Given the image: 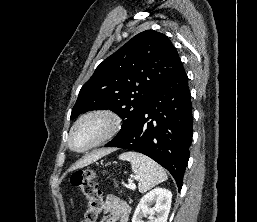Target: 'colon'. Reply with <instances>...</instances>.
Here are the masks:
<instances>
[{
  "label": "colon",
  "mask_w": 257,
  "mask_h": 222,
  "mask_svg": "<svg viewBox=\"0 0 257 222\" xmlns=\"http://www.w3.org/2000/svg\"><path fill=\"white\" fill-rule=\"evenodd\" d=\"M72 186L78 188L86 200V209L82 222H96L99 213L103 209L101 191L96 182V171L92 169H80L70 177Z\"/></svg>",
  "instance_id": "5ec220e1"
}]
</instances>
